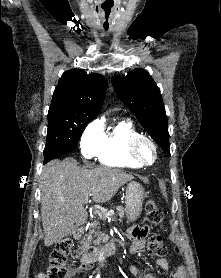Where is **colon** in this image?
Instances as JSON below:
<instances>
[{"mask_svg":"<svg viewBox=\"0 0 221 278\" xmlns=\"http://www.w3.org/2000/svg\"><path fill=\"white\" fill-rule=\"evenodd\" d=\"M146 222L149 226L160 227L164 221V213L161 208L150 199L145 204ZM72 249V241L63 239L57 243L49 257V267L45 272H38L35 278H67V259ZM147 250L150 254L160 256L166 252L162 237L158 234L151 235Z\"/></svg>","mask_w":221,"mask_h":278,"instance_id":"5ec220e1","label":"colon"}]
</instances>
